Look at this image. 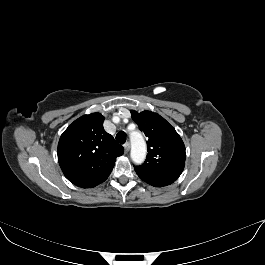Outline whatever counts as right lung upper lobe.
<instances>
[{
    "instance_id": "right-lung-upper-lobe-1",
    "label": "right lung upper lobe",
    "mask_w": 265,
    "mask_h": 265,
    "mask_svg": "<svg viewBox=\"0 0 265 265\" xmlns=\"http://www.w3.org/2000/svg\"><path fill=\"white\" fill-rule=\"evenodd\" d=\"M100 113L84 115L63 132L58 143V161L65 177L82 188L95 187L110 175L116 158L124 153L103 128Z\"/></svg>"
}]
</instances>
